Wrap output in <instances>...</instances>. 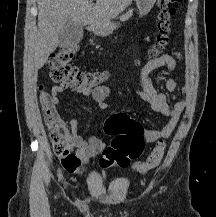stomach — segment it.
<instances>
[{"instance_id": "stomach-1", "label": "stomach", "mask_w": 216, "mask_h": 217, "mask_svg": "<svg viewBox=\"0 0 216 217\" xmlns=\"http://www.w3.org/2000/svg\"><path fill=\"white\" fill-rule=\"evenodd\" d=\"M140 16H144L153 8L156 0H135ZM117 26L114 24H106L93 27V32L96 35L106 36L112 33Z\"/></svg>"}]
</instances>
